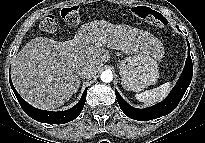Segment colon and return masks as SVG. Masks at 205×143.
I'll return each instance as SVG.
<instances>
[{
    "mask_svg": "<svg viewBox=\"0 0 205 143\" xmlns=\"http://www.w3.org/2000/svg\"><path fill=\"white\" fill-rule=\"evenodd\" d=\"M130 12L133 16L159 27H164L168 23L162 14L150 7L133 6L130 8ZM60 15L69 25H76L80 21V10L78 6H69L63 8L60 12ZM40 28L44 32H55L57 29L56 17L53 14H46L40 21Z\"/></svg>",
    "mask_w": 205,
    "mask_h": 143,
    "instance_id": "5ec220e1",
    "label": "colon"
}]
</instances>
